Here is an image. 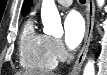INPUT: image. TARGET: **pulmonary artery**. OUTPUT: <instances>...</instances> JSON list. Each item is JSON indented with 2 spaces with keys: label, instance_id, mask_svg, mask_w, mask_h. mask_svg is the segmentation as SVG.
I'll list each match as a JSON object with an SVG mask.
<instances>
[{
  "label": "pulmonary artery",
  "instance_id": "pulmonary-artery-1",
  "mask_svg": "<svg viewBox=\"0 0 107 75\" xmlns=\"http://www.w3.org/2000/svg\"><path fill=\"white\" fill-rule=\"evenodd\" d=\"M62 6H70L72 4V0H58L57 1Z\"/></svg>",
  "mask_w": 107,
  "mask_h": 75
}]
</instances>
